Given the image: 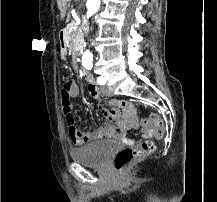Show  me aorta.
<instances>
[{
  "label": "aorta",
  "instance_id": "aorta-1",
  "mask_svg": "<svg viewBox=\"0 0 217 202\" xmlns=\"http://www.w3.org/2000/svg\"><path fill=\"white\" fill-rule=\"evenodd\" d=\"M86 8L88 12H91V14H96L100 8V0H87ZM83 58L85 62H92L93 60V56L89 50L84 52Z\"/></svg>",
  "mask_w": 217,
  "mask_h": 202
}]
</instances>
